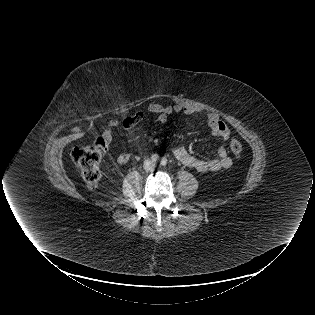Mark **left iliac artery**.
Here are the masks:
<instances>
[{"label": "left iliac artery", "mask_w": 315, "mask_h": 315, "mask_svg": "<svg viewBox=\"0 0 315 315\" xmlns=\"http://www.w3.org/2000/svg\"><path fill=\"white\" fill-rule=\"evenodd\" d=\"M160 163H161L162 165H166L167 160H166V159H164V158H162V159H161V161H160Z\"/></svg>", "instance_id": "44dca946"}]
</instances>
